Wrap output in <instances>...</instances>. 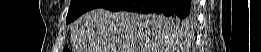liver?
<instances>
[{"label": "liver", "instance_id": "1", "mask_svg": "<svg viewBox=\"0 0 261 52\" xmlns=\"http://www.w3.org/2000/svg\"><path fill=\"white\" fill-rule=\"evenodd\" d=\"M161 17L97 8L74 22L72 37L78 52H179L183 26Z\"/></svg>", "mask_w": 261, "mask_h": 52}]
</instances>
